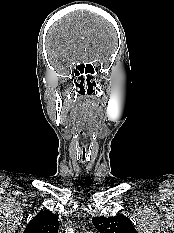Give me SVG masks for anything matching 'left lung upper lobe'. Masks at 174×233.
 <instances>
[{"instance_id":"5c2ea615","label":"left lung upper lobe","mask_w":174,"mask_h":233,"mask_svg":"<svg viewBox=\"0 0 174 233\" xmlns=\"http://www.w3.org/2000/svg\"><path fill=\"white\" fill-rule=\"evenodd\" d=\"M92 222L99 233H137L130 219L124 215L93 217Z\"/></svg>"}]
</instances>
